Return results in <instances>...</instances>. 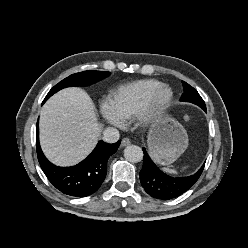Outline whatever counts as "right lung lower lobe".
Listing matches in <instances>:
<instances>
[{
  "mask_svg": "<svg viewBox=\"0 0 248 248\" xmlns=\"http://www.w3.org/2000/svg\"><path fill=\"white\" fill-rule=\"evenodd\" d=\"M119 145L120 141L114 144L100 141L94 151L79 164L72 167H58L48 161L41 150L37 122L38 161L52 185L66 195L86 197L96 192L106 177L108 158L117 151Z\"/></svg>",
  "mask_w": 248,
  "mask_h": 248,
  "instance_id": "1",
  "label": "right lung lower lobe"
}]
</instances>
